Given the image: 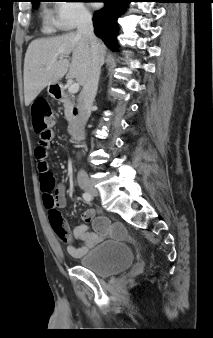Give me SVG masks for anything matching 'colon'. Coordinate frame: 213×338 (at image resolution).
Returning <instances> with one entry per match:
<instances>
[{"label": "colon", "instance_id": "5ec220e1", "mask_svg": "<svg viewBox=\"0 0 213 338\" xmlns=\"http://www.w3.org/2000/svg\"><path fill=\"white\" fill-rule=\"evenodd\" d=\"M33 128L39 138L44 140L51 134L53 116L51 108L46 100L36 99L32 104ZM40 173V184L44 207L49 210V220L53 228L59 227L63 223L61 213L56 209V199L54 195L55 179L45 161L38 162Z\"/></svg>", "mask_w": 213, "mask_h": 338}]
</instances>
